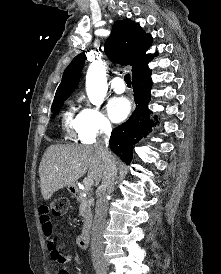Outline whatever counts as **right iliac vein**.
<instances>
[{"instance_id":"63e3f726","label":"right iliac vein","mask_w":221,"mask_h":274,"mask_svg":"<svg viewBox=\"0 0 221 274\" xmlns=\"http://www.w3.org/2000/svg\"><path fill=\"white\" fill-rule=\"evenodd\" d=\"M95 269L97 274H107L106 267L103 265H97Z\"/></svg>"}]
</instances>
